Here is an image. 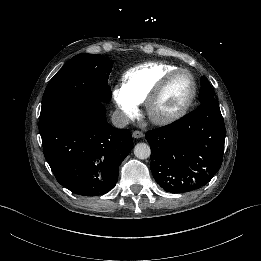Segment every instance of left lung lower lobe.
<instances>
[{
  "instance_id": "0a47b994",
  "label": "left lung lower lobe",
  "mask_w": 261,
  "mask_h": 261,
  "mask_svg": "<svg viewBox=\"0 0 261 261\" xmlns=\"http://www.w3.org/2000/svg\"><path fill=\"white\" fill-rule=\"evenodd\" d=\"M225 125L213 98L180 120L147 131L152 147L151 171L157 184L170 193L206 185L219 170L224 152Z\"/></svg>"
}]
</instances>
